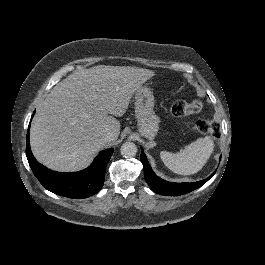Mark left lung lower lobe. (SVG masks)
Masks as SVG:
<instances>
[{
    "label": "left lung lower lobe",
    "mask_w": 265,
    "mask_h": 265,
    "mask_svg": "<svg viewBox=\"0 0 265 265\" xmlns=\"http://www.w3.org/2000/svg\"><path fill=\"white\" fill-rule=\"evenodd\" d=\"M141 162L144 167V176L145 180L150 186V188L155 191L156 193H159L161 195H167V196H177L186 194L190 191H193L199 187H201L205 182H207L214 173L209 176L207 179L195 182V183H171L167 182L155 175L153 170L151 169L147 158L144 154V152H141Z\"/></svg>",
    "instance_id": "1"
}]
</instances>
